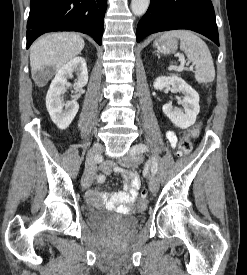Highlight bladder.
<instances>
[{"instance_id":"bladder-1","label":"bladder","mask_w":247,"mask_h":275,"mask_svg":"<svg viewBox=\"0 0 247 275\" xmlns=\"http://www.w3.org/2000/svg\"><path fill=\"white\" fill-rule=\"evenodd\" d=\"M88 220L93 225H118L122 227H133L137 224V217L135 214H126L122 219H119L113 212L108 210H90L88 213Z\"/></svg>"}]
</instances>
